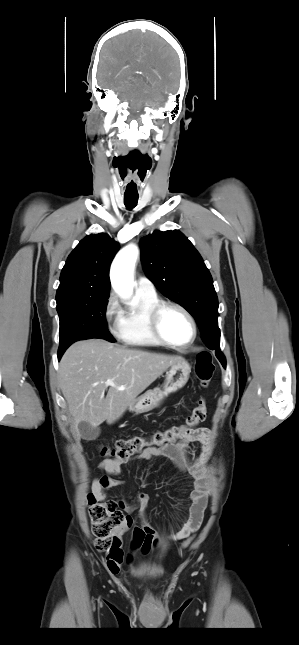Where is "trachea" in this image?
Wrapping results in <instances>:
<instances>
[{
    "label": "trachea",
    "mask_w": 299,
    "mask_h": 645,
    "mask_svg": "<svg viewBox=\"0 0 299 645\" xmlns=\"http://www.w3.org/2000/svg\"><path fill=\"white\" fill-rule=\"evenodd\" d=\"M138 202V196H124V203L127 209H133Z\"/></svg>",
    "instance_id": "1"
}]
</instances>
